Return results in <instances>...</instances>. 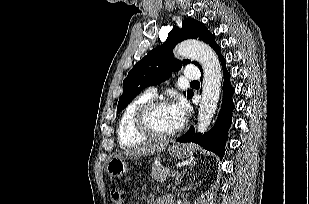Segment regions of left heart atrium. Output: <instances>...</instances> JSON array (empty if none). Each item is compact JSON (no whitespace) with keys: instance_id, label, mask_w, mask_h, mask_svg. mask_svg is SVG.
<instances>
[{"instance_id":"obj_1","label":"left heart atrium","mask_w":309,"mask_h":204,"mask_svg":"<svg viewBox=\"0 0 309 204\" xmlns=\"http://www.w3.org/2000/svg\"><path fill=\"white\" fill-rule=\"evenodd\" d=\"M172 107L177 117L178 124L181 126L187 118L189 106L184 99L180 98L172 105Z\"/></svg>"}]
</instances>
